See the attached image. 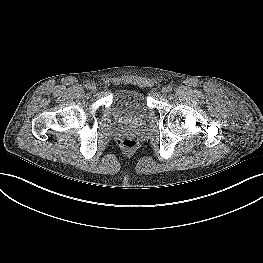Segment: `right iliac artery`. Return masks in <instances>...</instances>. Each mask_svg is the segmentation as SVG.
I'll use <instances>...</instances> for the list:
<instances>
[{
    "instance_id": "right-iliac-artery-1",
    "label": "right iliac artery",
    "mask_w": 263,
    "mask_h": 263,
    "mask_svg": "<svg viewBox=\"0 0 263 263\" xmlns=\"http://www.w3.org/2000/svg\"><path fill=\"white\" fill-rule=\"evenodd\" d=\"M86 88H87V89H90V88H91V84H87V85H86Z\"/></svg>"
}]
</instances>
